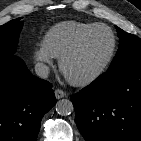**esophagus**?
<instances>
[{
    "label": "esophagus",
    "instance_id": "esophagus-1",
    "mask_svg": "<svg viewBox=\"0 0 141 141\" xmlns=\"http://www.w3.org/2000/svg\"><path fill=\"white\" fill-rule=\"evenodd\" d=\"M65 96H66V93L63 90H61V89H56L55 90V97L57 99L64 98Z\"/></svg>",
    "mask_w": 141,
    "mask_h": 141
}]
</instances>
